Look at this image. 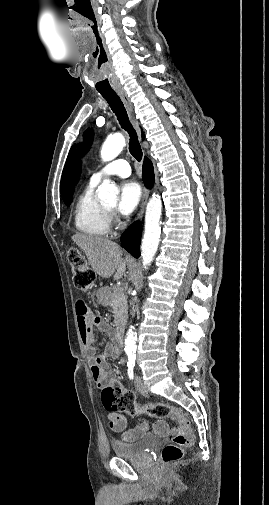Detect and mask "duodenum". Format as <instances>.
<instances>
[{
	"label": "duodenum",
	"instance_id": "1",
	"mask_svg": "<svg viewBox=\"0 0 269 505\" xmlns=\"http://www.w3.org/2000/svg\"><path fill=\"white\" fill-rule=\"evenodd\" d=\"M114 338L119 347H122L123 342H124V326L119 325L116 327L114 330Z\"/></svg>",
	"mask_w": 269,
	"mask_h": 505
}]
</instances>
